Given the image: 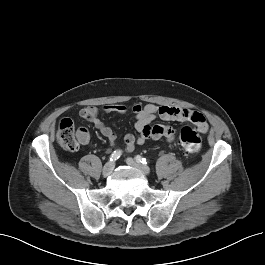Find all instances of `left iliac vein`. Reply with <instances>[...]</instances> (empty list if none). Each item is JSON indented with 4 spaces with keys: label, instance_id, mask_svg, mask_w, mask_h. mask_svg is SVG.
Instances as JSON below:
<instances>
[{
    "label": "left iliac vein",
    "instance_id": "obj_1",
    "mask_svg": "<svg viewBox=\"0 0 265 265\" xmlns=\"http://www.w3.org/2000/svg\"><path fill=\"white\" fill-rule=\"evenodd\" d=\"M126 163L129 165V166H132L134 168H137L139 169L141 172H143L145 175H149L150 174V168L146 165H142V164H139L137 163L134 159L132 158H127L126 159Z\"/></svg>",
    "mask_w": 265,
    "mask_h": 265
}]
</instances>
